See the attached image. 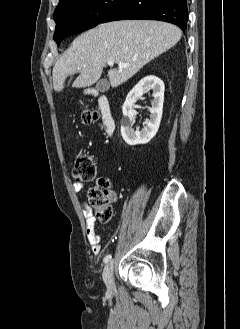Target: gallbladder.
<instances>
[{
  "label": "gallbladder",
  "instance_id": "obj_1",
  "mask_svg": "<svg viewBox=\"0 0 240 329\" xmlns=\"http://www.w3.org/2000/svg\"><path fill=\"white\" fill-rule=\"evenodd\" d=\"M96 89L100 92H105L109 89V83L106 79H101L96 83Z\"/></svg>",
  "mask_w": 240,
  "mask_h": 329
}]
</instances>
